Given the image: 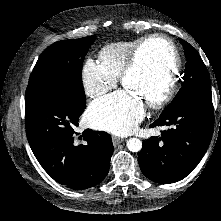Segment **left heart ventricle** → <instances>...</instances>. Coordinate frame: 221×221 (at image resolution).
Wrapping results in <instances>:
<instances>
[{
  "label": "left heart ventricle",
  "instance_id": "obj_1",
  "mask_svg": "<svg viewBox=\"0 0 221 221\" xmlns=\"http://www.w3.org/2000/svg\"><path fill=\"white\" fill-rule=\"evenodd\" d=\"M173 59L168 45L152 41L140 52L134 70L129 74L125 89L146 104L162 93L173 69Z\"/></svg>",
  "mask_w": 221,
  "mask_h": 221
}]
</instances>
